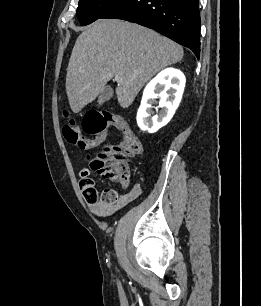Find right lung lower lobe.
Segmentation results:
<instances>
[{
    "label": "right lung lower lobe",
    "mask_w": 261,
    "mask_h": 306,
    "mask_svg": "<svg viewBox=\"0 0 261 306\" xmlns=\"http://www.w3.org/2000/svg\"><path fill=\"white\" fill-rule=\"evenodd\" d=\"M115 18L154 29L200 55L199 0H117L98 19Z\"/></svg>",
    "instance_id": "1"
}]
</instances>
